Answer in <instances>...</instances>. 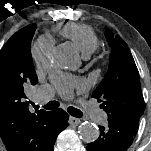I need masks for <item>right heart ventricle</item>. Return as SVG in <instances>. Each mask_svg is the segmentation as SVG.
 <instances>
[{
  "label": "right heart ventricle",
  "instance_id": "right-heart-ventricle-1",
  "mask_svg": "<svg viewBox=\"0 0 151 151\" xmlns=\"http://www.w3.org/2000/svg\"><path fill=\"white\" fill-rule=\"evenodd\" d=\"M56 32L71 40L84 56H89L98 47V38L93 29L85 24L65 23L56 27Z\"/></svg>",
  "mask_w": 151,
  "mask_h": 151
}]
</instances>
